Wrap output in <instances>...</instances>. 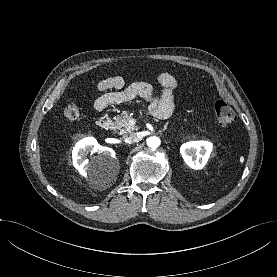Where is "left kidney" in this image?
<instances>
[{
	"instance_id": "5707ae66",
	"label": "left kidney",
	"mask_w": 277,
	"mask_h": 277,
	"mask_svg": "<svg viewBox=\"0 0 277 277\" xmlns=\"http://www.w3.org/2000/svg\"><path fill=\"white\" fill-rule=\"evenodd\" d=\"M212 151V144L207 141H191L180 147L185 163L193 169H202Z\"/></svg>"
}]
</instances>
